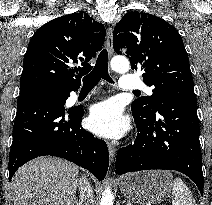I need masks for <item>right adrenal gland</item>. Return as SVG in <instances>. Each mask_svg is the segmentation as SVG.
<instances>
[{
	"mask_svg": "<svg viewBox=\"0 0 212 205\" xmlns=\"http://www.w3.org/2000/svg\"><path fill=\"white\" fill-rule=\"evenodd\" d=\"M76 205H81L80 202L78 200L75 201Z\"/></svg>",
	"mask_w": 212,
	"mask_h": 205,
	"instance_id": "2a0ac1e0",
	"label": "right adrenal gland"
}]
</instances>
